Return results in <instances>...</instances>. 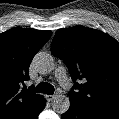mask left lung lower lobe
Returning a JSON list of instances; mask_svg holds the SVG:
<instances>
[{"label": "left lung lower lobe", "mask_w": 119, "mask_h": 119, "mask_svg": "<svg viewBox=\"0 0 119 119\" xmlns=\"http://www.w3.org/2000/svg\"><path fill=\"white\" fill-rule=\"evenodd\" d=\"M62 119H115L93 113L79 104L70 102L69 110L62 114Z\"/></svg>", "instance_id": "1"}]
</instances>
